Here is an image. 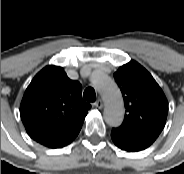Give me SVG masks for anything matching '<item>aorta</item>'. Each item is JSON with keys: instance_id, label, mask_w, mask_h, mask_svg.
<instances>
[{"instance_id": "aorta-1", "label": "aorta", "mask_w": 184, "mask_h": 174, "mask_svg": "<svg viewBox=\"0 0 184 174\" xmlns=\"http://www.w3.org/2000/svg\"><path fill=\"white\" fill-rule=\"evenodd\" d=\"M93 83L102 95L106 107L104 119L109 126H119L124 118V103L116 83L104 74L93 75Z\"/></svg>"}]
</instances>
